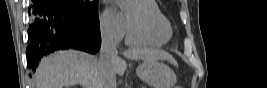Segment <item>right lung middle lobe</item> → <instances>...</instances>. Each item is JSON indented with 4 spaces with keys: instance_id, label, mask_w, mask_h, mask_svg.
Masks as SVG:
<instances>
[{
    "instance_id": "right-lung-middle-lobe-1",
    "label": "right lung middle lobe",
    "mask_w": 267,
    "mask_h": 88,
    "mask_svg": "<svg viewBox=\"0 0 267 88\" xmlns=\"http://www.w3.org/2000/svg\"><path fill=\"white\" fill-rule=\"evenodd\" d=\"M68 5L89 16L97 15L98 2L97 0H65Z\"/></svg>"
}]
</instances>
